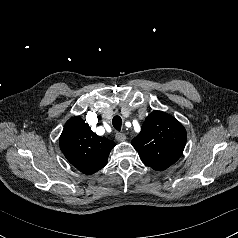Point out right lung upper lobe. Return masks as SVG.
I'll list each match as a JSON object with an SVG mask.
<instances>
[{
  "label": "right lung upper lobe",
  "mask_w": 238,
  "mask_h": 238,
  "mask_svg": "<svg viewBox=\"0 0 238 238\" xmlns=\"http://www.w3.org/2000/svg\"><path fill=\"white\" fill-rule=\"evenodd\" d=\"M66 159L79 171L90 175L107 164L115 143L96 135L80 116L67 121L59 138Z\"/></svg>",
  "instance_id": "cb5924a9"
}]
</instances>
